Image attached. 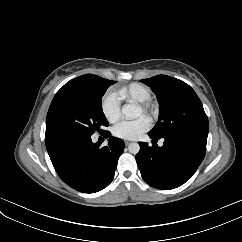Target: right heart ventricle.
Instances as JSON below:
<instances>
[{
  "mask_svg": "<svg viewBox=\"0 0 242 242\" xmlns=\"http://www.w3.org/2000/svg\"><path fill=\"white\" fill-rule=\"evenodd\" d=\"M118 97L122 100L139 104L150 100L151 91L142 84L131 83L118 90Z\"/></svg>",
  "mask_w": 242,
  "mask_h": 242,
  "instance_id": "right-heart-ventricle-1",
  "label": "right heart ventricle"
}]
</instances>
